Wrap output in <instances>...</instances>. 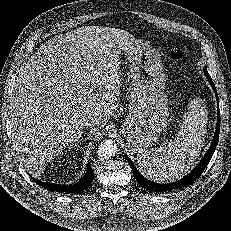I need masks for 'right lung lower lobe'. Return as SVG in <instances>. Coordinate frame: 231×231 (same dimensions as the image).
Segmentation results:
<instances>
[{
  "label": "right lung lower lobe",
  "mask_w": 231,
  "mask_h": 231,
  "mask_svg": "<svg viewBox=\"0 0 231 231\" xmlns=\"http://www.w3.org/2000/svg\"><path fill=\"white\" fill-rule=\"evenodd\" d=\"M94 178L93 169L91 168L90 163L87 164V170L83 177V179L75 184H69V185H61V184H55L50 182H41L39 180H35L40 186L54 191H61V192H67V193H79L83 190H85L89 185L92 183Z\"/></svg>",
  "instance_id": "right-lung-lower-lobe-1"
}]
</instances>
